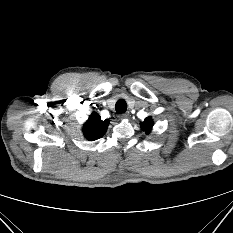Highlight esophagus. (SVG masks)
<instances>
[{
    "instance_id": "34e87169",
    "label": "esophagus",
    "mask_w": 233,
    "mask_h": 233,
    "mask_svg": "<svg viewBox=\"0 0 233 233\" xmlns=\"http://www.w3.org/2000/svg\"><path fill=\"white\" fill-rule=\"evenodd\" d=\"M129 113H123V114H121L120 116H119V118L121 119V120H124V119H128L129 118Z\"/></svg>"
}]
</instances>
